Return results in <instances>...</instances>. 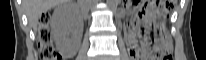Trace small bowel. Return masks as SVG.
<instances>
[{
    "instance_id": "1",
    "label": "small bowel",
    "mask_w": 206,
    "mask_h": 60,
    "mask_svg": "<svg viewBox=\"0 0 206 60\" xmlns=\"http://www.w3.org/2000/svg\"><path fill=\"white\" fill-rule=\"evenodd\" d=\"M139 52H140V49L137 46L136 42L134 41V39H131L130 40V55L132 59H138Z\"/></svg>"
}]
</instances>
